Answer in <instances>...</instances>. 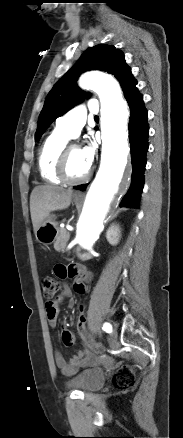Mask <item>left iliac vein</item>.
<instances>
[{
  "label": "left iliac vein",
  "mask_w": 183,
  "mask_h": 438,
  "mask_svg": "<svg viewBox=\"0 0 183 438\" xmlns=\"http://www.w3.org/2000/svg\"><path fill=\"white\" fill-rule=\"evenodd\" d=\"M116 338H117V332H116V330L114 329V330L112 331V334H111V341H112L113 344H114V342L116 341Z\"/></svg>",
  "instance_id": "obj_1"
}]
</instances>
